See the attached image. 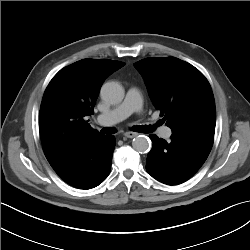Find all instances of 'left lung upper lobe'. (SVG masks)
I'll list each match as a JSON object with an SVG mask.
<instances>
[{
  "label": "left lung upper lobe",
  "mask_w": 250,
  "mask_h": 250,
  "mask_svg": "<svg viewBox=\"0 0 250 250\" xmlns=\"http://www.w3.org/2000/svg\"><path fill=\"white\" fill-rule=\"evenodd\" d=\"M149 96L173 133L214 136L213 93L205 76L175 57L146 58L134 64Z\"/></svg>",
  "instance_id": "obj_1"
}]
</instances>
